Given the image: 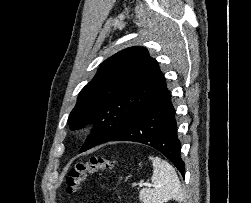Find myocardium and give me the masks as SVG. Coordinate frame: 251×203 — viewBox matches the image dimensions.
Here are the masks:
<instances>
[{
  "mask_svg": "<svg viewBox=\"0 0 251 203\" xmlns=\"http://www.w3.org/2000/svg\"><path fill=\"white\" fill-rule=\"evenodd\" d=\"M91 126H92V125H91L90 122L85 121V122H83V123L81 124L80 130H81L82 132H87L88 130L91 129Z\"/></svg>",
  "mask_w": 251,
  "mask_h": 203,
  "instance_id": "myocardium-1",
  "label": "myocardium"
}]
</instances>
